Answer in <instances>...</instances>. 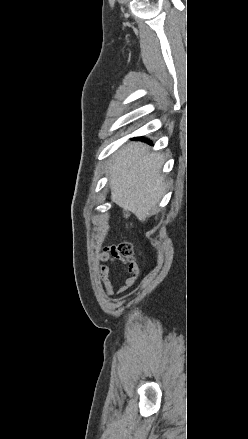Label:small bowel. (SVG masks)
Returning a JSON list of instances; mask_svg holds the SVG:
<instances>
[{
	"mask_svg": "<svg viewBox=\"0 0 248 439\" xmlns=\"http://www.w3.org/2000/svg\"><path fill=\"white\" fill-rule=\"evenodd\" d=\"M98 260L101 262H111L116 265H123L125 276L119 274L122 285L118 290H114L113 284L109 278L110 268L107 265H100L98 267V273L100 275V280L102 286L109 296H114L116 294L123 293L128 288H130L138 275V266L136 263H130L117 249V247H107L104 248L98 254Z\"/></svg>",
	"mask_w": 248,
	"mask_h": 439,
	"instance_id": "obj_1",
	"label": "small bowel"
}]
</instances>
